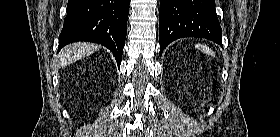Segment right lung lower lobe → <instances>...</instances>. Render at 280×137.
I'll use <instances>...</instances> for the list:
<instances>
[{
    "instance_id": "1",
    "label": "right lung lower lobe",
    "mask_w": 280,
    "mask_h": 137,
    "mask_svg": "<svg viewBox=\"0 0 280 137\" xmlns=\"http://www.w3.org/2000/svg\"><path fill=\"white\" fill-rule=\"evenodd\" d=\"M130 0H68L59 49L76 41L104 45L120 66Z\"/></svg>"
}]
</instances>
